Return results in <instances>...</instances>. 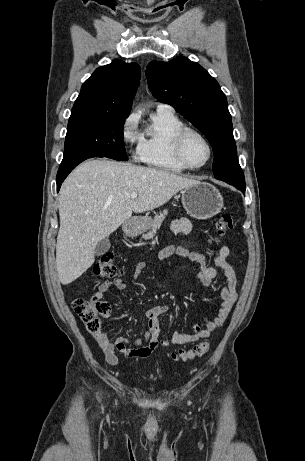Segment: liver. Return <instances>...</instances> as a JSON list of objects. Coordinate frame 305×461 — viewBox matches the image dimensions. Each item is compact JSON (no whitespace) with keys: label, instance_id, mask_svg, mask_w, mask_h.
Segmentation results:
<instances>
[{"label":"liver","instance_id":"obj_1","mask_svg":"<svg viewBox=\"0 0 305 461\" xmlns=\"http://www.w3.org/2000/svg\"><path fill=\"white\" fill-rule=\"evenodd\" d=\"M165 170L106 159L80 164L62 184L56 269L63 285L79 278L95 261V247L132 213L168 202L180 190L197 184ZM136 192L138 197L131 198Z\"/></svg>","mask_w":305,"mask_h":461}]
</instances>
